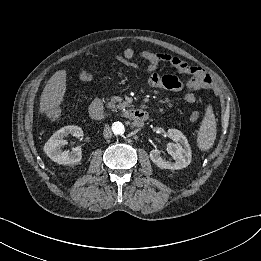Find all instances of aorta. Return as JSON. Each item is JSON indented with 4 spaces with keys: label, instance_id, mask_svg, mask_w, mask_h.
Returning <instances> with one entry per match:
<instances>
[{
    "label": "aorta",
    "instance_id": "1",
    "mask_svg": "<svg viewBox=\"0 0 261 261\" xmlns=\"http://www.w3.org/2000/svg\"><path fill=\"white\" fill-rule=\"evenodd\" d=\"M112 130L115 135H122L125 131V127L121 122H114L112 125Z\"/></svg>",
    "mask_w": 261,
    "mask_h": 261
}]
</instances>
